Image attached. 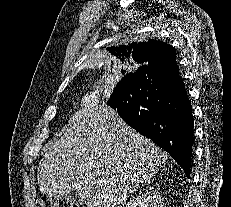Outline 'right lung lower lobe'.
Listing matches in <instances>:
<instances>
[{
    "mask_svg": "<svg viewBox=\"0 0 231 207\" xmlns=\"http://www.w3.org/2000/svg\"><path fill=\"white\" fill-rule=\"evenodd\" d=\"M107 103L128 125L167 151L189 178L194 118L177 65L138 68L117 84Z\"/></svg>",
    "mask_w": 231,
    "mask_h": 207,
    "instance_id": "1",
    "label": "right lung lower lobe"
}]
</instances>
